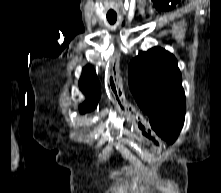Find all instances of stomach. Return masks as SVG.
Instances as JSON below:
<instances>
[{"instance_id":"0dacf381","label":"stomach","mask_w":221,"mask_h":193,"mask_svg":"<svg viewBox=\"0 0 221 193\" xmlns=\"http://www.w3.org/2000/svg\"><path fill=\"white\" fill-rule=\"evenodd\" d=\"M128 98H111V103H117L116 109L121 110V115H125L127 123H131L135 134H143L144 138H148L150 142V152H155V155H163V150L159 147V138H163V133H151V125H148V120H140V115H136V104L128 102Z\"/></svg>"}]
</instances>
